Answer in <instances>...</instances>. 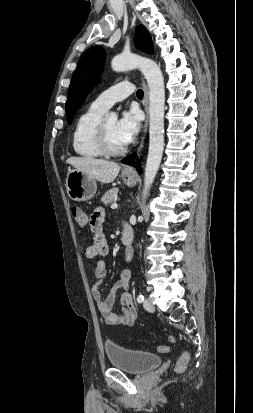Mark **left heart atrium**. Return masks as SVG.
<instances>
[{
  "mask_svg": "<svg viewBox=\"0 0 253 413\" xmlns=\"http://www.w3.org/2000/svg\"><path fill=\"white\" fill-rule=\"evenodd\" d=\"M140 129V116L137 111L129 110L122 113L116 123V134L123 145L131 143Z\"/></svg>",
  "mask_w": 253,
  "mask_h": 413,
  "instance_id": "1",
  "label": "left heart atrium"
}]
</instances>
